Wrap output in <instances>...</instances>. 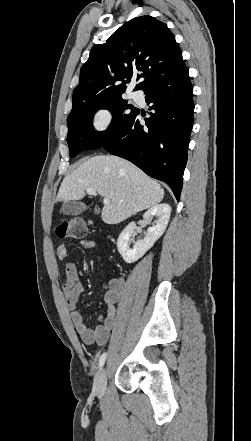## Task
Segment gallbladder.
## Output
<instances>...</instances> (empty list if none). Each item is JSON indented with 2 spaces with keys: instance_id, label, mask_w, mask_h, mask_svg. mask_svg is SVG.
Masks as SVG:
<instances>
[{
  "instance_id": "bac80fb5",
  "label": "gallbladder",
  "mask_w": 251,
  "mask_h": 441,
  "mask_svg": "<svg viewBox=\"0 0 251 441\" xmlns=\"http://www.w3.org/2000/svg\"><path fill=\"white\" fill-rule=\"evenodd\" d=\"M85 205L75 202V201H68L65 202L62 206V211L66 215H79L85 210Z\"/></svg>"
}]
</instances>
